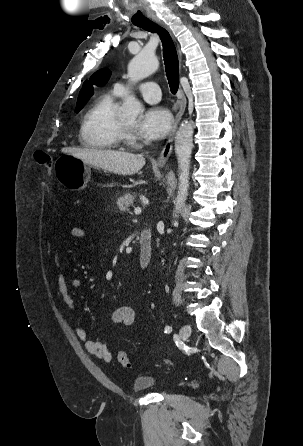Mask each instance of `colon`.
<instances>
[{"instance_id": "1", "label": "colon", "mask_w": 303, "mask_h": 446, "mask_svg": "<svg viewBox=\"0 0 303 446\" xmlns=\"http://www.w3.org/2000/svg\"><path fill=\"white\" fill-rule=\"evenodd\" d=\"M35 160L38 164L42 165L46 169V173L48 175H51L52 173V158L49 154L43 152V151H37L34 154ZM118 363L124 367H130V360L127 355V353L120 351L117 355Z\"/></svg>"}]
</instances>
